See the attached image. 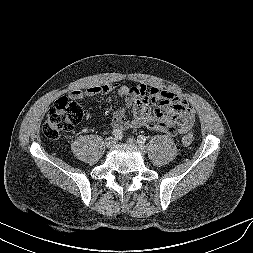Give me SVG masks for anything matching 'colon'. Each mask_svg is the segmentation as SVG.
I'll return each mask as SVG.
<instances>
[{"label": "colon", "instance_id": "colon-1", "mask_svg": "<svg viewBox=\"0 0 253 253\" xmlns=\"http://www.w3.org/2000/svg\"><path fill=\"white\" fill-rule=\"evenodd\" d=\"M84 105L81 99L61 97L50 107L47 119L43 124V134L49 139H55L61 134L71 131L81 120ZM193 142L192 134L183 138L185 145Z\"/></svg>", "mask_w": 253, "mask_h": 253}]
</instances>
